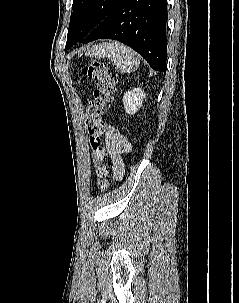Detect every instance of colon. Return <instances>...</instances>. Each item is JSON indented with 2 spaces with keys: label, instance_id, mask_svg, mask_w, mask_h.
Wrapping results in <instances>:
<instances>
[{
  "label": "colon",
  "instance_id": "obj_1",
  "mask_svg": "<svg viewBox=\"0 0 239 303\" xmlns=\"http://www.w3.org/2000/svg\"><path fill=\"white\" fill-rule=\"evenodd\" d=\"M82 74L94 81L93 97L87 106L86 131L94 162L96 186L104 190L108 186V167L103 163L106 150L102 145V135L106 128L104 116L113 103L117 75L100 61L87 63Z\"/></svg>",
  "mask_w": 239,
  "mask_h": 303
}]
</instances>
